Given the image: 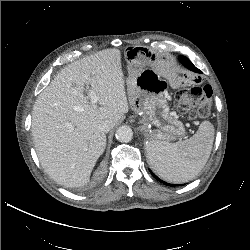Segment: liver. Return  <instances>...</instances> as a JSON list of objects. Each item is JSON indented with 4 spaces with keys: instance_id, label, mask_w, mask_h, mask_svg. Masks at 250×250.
Instances as JSON below:
<instances>
[{
    "instance_id": "1",
    "label": "liver",
    "mask_w": 250,
    "mask_h": 250,
    "mask_svg": "<svg viewBox=\"0 0 250 250\" xmlns=\"http://www.w3.org/2000/svg\"><path fill=\"white\" fill-rule=\"evenodd\" d=\"M128 110L120 50L105 49L62 69L32 111L34 146L45 172L65 187L87 184L106 147L99 125L113 128Z\"/></svg>"
}]
</instances>
